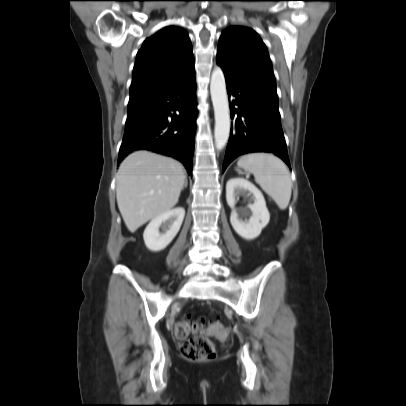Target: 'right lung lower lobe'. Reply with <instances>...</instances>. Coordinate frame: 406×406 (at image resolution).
Listing matches in <instances>:
<instances>
[{
	"instance_id": "right-lung-lower-lobe-1",
	"label": "right lung lower lobe",
	"mask_w": 406,
	"mask_h": 406,
	"mask_svg": "<svg viewBox=\"0 0 406 406\" xmlns=\"http://www.w3.org/2000/svg\"><path fill=\"white\" fill-rule=\"evenodd\" d=\"M144 116L125 126L118 162L136 150L172 157L192 176L196 121L195 73L139 104Z\"/></svg>"
}]
</instances>
